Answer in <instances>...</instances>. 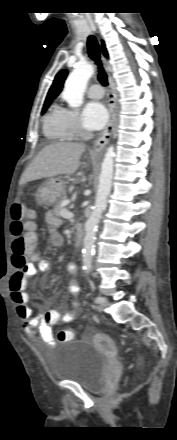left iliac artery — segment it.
Returning a JSON list of instances; mask_svg holds the SVG:
<instances>
[{"label": "left iliac artery", "instance_id": "left-iliac-artery-1", "mask_svg": "<svg viewBox=\"0 0 177 440\" xmlns=\"http://www.w3.org/2000/svg\"><path fill=\"white\" fill-rule=\"evenodd\" d=\"M94 301H95V303L99 304V303H101L103 301V298L102 297H96Z\"/></svg>", "mask_w": 177, "mask_h": 440}]
</instances>
